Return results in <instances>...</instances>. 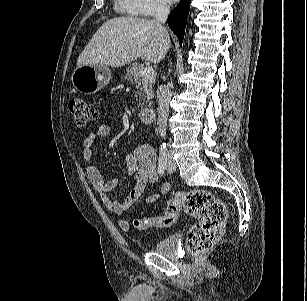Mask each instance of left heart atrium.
<instances>
[{
    "instance_id": "obj_1",
    "label": "left heart atrium",
    "mask_w": 307,
    "mask_h": 301,
    "mask_svg": "<svg viewBox=\"0 0 307 301\" xmlns=\"http://www.w3.org/2000/svg\"><path fill=\"white\" fill-rule=\"evenodd\" d=\"M168 3H175L177 0H166Z\"/></svg>"
}]
</instances>
